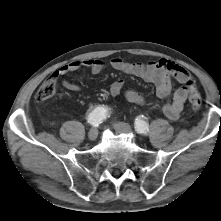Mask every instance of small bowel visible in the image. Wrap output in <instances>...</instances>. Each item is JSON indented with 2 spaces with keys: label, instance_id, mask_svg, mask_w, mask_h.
Returning <instances> with one entry per match:
<instances>
[{
  "label": "small bowel",
  "instance_id": "obj_1",
  "mask_svg": "<svg viewBox=\"0 0 221 221\" xmlns=\"http://www.w3.org/2000/svg\"><path fill=\"white\" fill-rule=\"evenodd\" d=\"M109 65L115 70L140 77L144 81L153 84L156 95L159 98H167L172 95L171 99L163 105L165 116L171 120H175L180 116L188 99L189 90L186 83L191 81L195 85L193 77L183 67L167 59L138 63L127 62L121 57H115L110 60ZM81 67L88 68L93 74H99L105 69L106 63L99 59L77 60L61 66L52 73L51 77L57 80L62 76L77 71ZM172 77L183 86L172 91ZM62 85L65 89L72 92L80 90L78 84L68 80H64ZM123 86V80L114 81L110 86L111 95H120L123 91ZM124 97L131 104L143 105L145 103L142 94L134 89H127L124 92Z\"/></svg>",
  "mask_w": 221,
  "mask_h": 221
}]
</instances>
